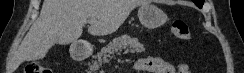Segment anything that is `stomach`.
<instances>
[{"mask_svg":"<svg viewBox=\"0 0 244 73\" xmlns=\"http://www.w3.org/2000/svg\"><path fill=\"white\" fill-rule=\"evenodd\" d=\"M138 18L143 26L154 29L167 21L166 13L151 3H145L138 9Z\"/></svg>","mask_w":244,"mask_h":73,"instance_id":"obj_1","label":"stomach"}]
</instances>
